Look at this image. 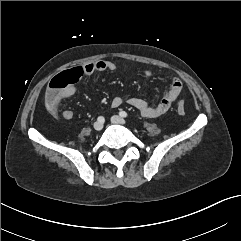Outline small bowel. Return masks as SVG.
<instances>
[{
  "instance_id": "c3829d8e",
  "label": "small bowel",
  "mask_w": 241,
  "mask_h": 241,
  "mask_svg": "<svg viewBox=\"0 0 241 241\" xmlns=\"http://www.w3.org/2000/svg\"><path fill=\"white\" fill-rule=\"evenodd\" d=\"M85 69V75H90L95 72H113L116 70V64L111 61L101 60L96 62H91L83 65ZM145 74L147 76L152 74V70L145 69ZM183 85L178 78H174L166 90L162 99L155 105H150L146 100L141 98H127L124 99L121 96H114L111 99V106L113 108L120 107L122 104L127 103L130 106L136 108L140 111L141 115L146 118H157L165 114L169 108L172 106L174 101L182 92ZM75 93V88L70 86L64 89L58 96L53 100L47 101V109L49 113L56 117L59 114V108L63 100L71 97ZM62 117L65 120H71L74 116L73 112L69 109H65L61 112Z\"/></svg>"
}]
</instances>
